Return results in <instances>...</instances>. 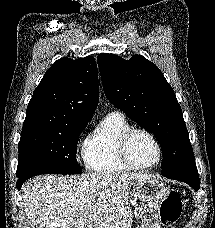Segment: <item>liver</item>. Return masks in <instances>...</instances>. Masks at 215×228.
<instances>
[{
    "label": "liver",
    "mask_w": 215,
    "mask_h": 228,
    "mask_svg": "<svg viewBox=\"0 0 215 228\" xmlns=\"http://www.w3.org/2000/svg\"><path fill=\"white\" fill-rule=\"evenodd\" d=\"M147 174L35 176L20 198L31 228H131L129 204Z\"/></svg>",
    "instance_id": "1"
}]
</instances>
